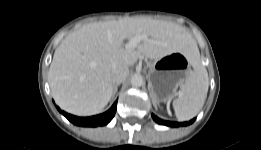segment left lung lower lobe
Wrapping results in <instances>:
<instances>
[{"mask_svg":"<svg viewBox=\"0 0 261 150\" xmlns=\"http://www.w3.org/2000/svg\"><path fill=\"white\" fill-rule=\"evenodd\" d=\"M152 117L154 121L157 122L158 124L171 126V127L187 126L195 121V119H192L189 122L177 123V122H169V121L161 120L158 117H156L154 114H152Z\"/></svg>","mask_w":261,"mask_h":150,"instance_id":"obj_1","label":"left lung lower lobe"}]
</instances>
